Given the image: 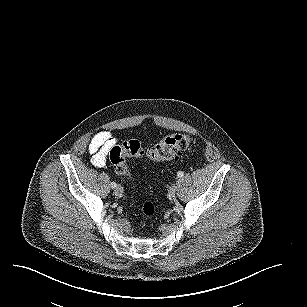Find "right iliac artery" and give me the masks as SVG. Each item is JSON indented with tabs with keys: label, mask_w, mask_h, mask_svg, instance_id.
Here are the masks:
<instances>
[{
	"label": "right iliac artery",
	"mask_w": 307,
	"mask_h": 307,
	"mask_svg": "<svg viewBox=\"0 0 307 307\" xmlns=\"http://www.w3.org/2000/svg\"><path fill=\"white\" fill-rule=\"evenodd\" d=\"M110 186H111L112 188H115V187H116V183H115V182H111Z\"/></svg>",
	"instance_id": "right-iliac-artery-1"
}]
</instances>
